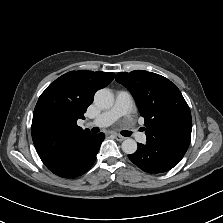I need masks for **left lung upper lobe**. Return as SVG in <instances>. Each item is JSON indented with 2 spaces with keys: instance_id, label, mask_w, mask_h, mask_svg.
<instances>
[{
  "instance_id": "5c2ea615",
  "label": "left lung upper lobe",
  "mask_w": 223,
  "mask_h": 223,
  "mask_svg": "<svg viewBox=\"0 0 223 223\" xmlns=\"http://www.w3.org/2000/svg\"><path fill=\"white\" fill-rule=\"evenodd\" d=\"M116 81L133 95L145 119L147 141L185 154L190 144L192 118L176 85L159 74L143 70L120 72Z\"/></svg>"
}]
</instances>
